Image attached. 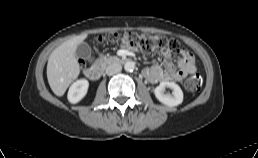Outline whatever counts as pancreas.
Instances as JSON below:
<instances>
[{
  "mask_svg": "<svg viewBox=\"0 0 258 158\" xmlns=\"http://www.w3.org/2000/svg\"><path fill=\"white\" fill-rule=\"evenodd\" d=\"M103 60H106L105 58H103V57H101L100 59H99V61H103Z\"/></svg>",
  "mask_w": 258,
  "mask_h": 158,
  "instance_id": "pancreas-1",
  "label": "pancreas"
}]
</instances>
